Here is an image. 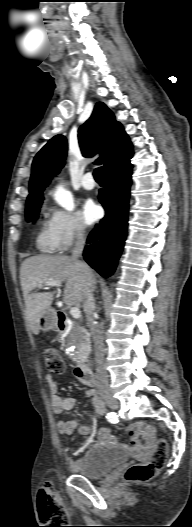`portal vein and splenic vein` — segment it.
Instances as JSON below:
<instances>
[{
    "label": "portal vein and splenic vein",
    "mask_w": 192,
    "mask_h": 527,
    "mask_svg": "<svg viewBox=\"0 0 192 527\" xmlns=\"http://www.w3.org/2000/svg\"><path fill=\"white\" fill-rule=\"evenodd\" d=\"M43 286H51V287H60L61 286V283L59 281H56V280H48L44 283H40L38 284V287H43ZM70 314L71 316L74 318V319H79L81 317V312L80 310L77 308V307H73L70 309Z\"/></svg>",
    "instance_id": "portal-vein-and-splenic-vein-1"
}]
</instances>
